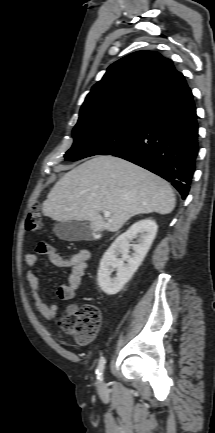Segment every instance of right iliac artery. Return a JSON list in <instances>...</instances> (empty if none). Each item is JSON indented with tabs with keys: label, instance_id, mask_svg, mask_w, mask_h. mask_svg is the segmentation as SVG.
I'll use <instances>...</instances> for the list:
<instances>
[{
	"label": "right iliac artery",
	"instance_id": "1",
	"mask_svg": "<svg viewBox=\"0 0 215 433\" xmlns=\"http://www.w3.org/2000/svg\"><path fill=\"white\" fill-rule=\"evenodd\" d=\"M105 363H106L105 358L101 357L98 363V367L96 369L97 379L99 381H102V374L105 367Z\"/></svg>",
	"mask_w": 215,
	"mask_h": 433
}]
</instances>
